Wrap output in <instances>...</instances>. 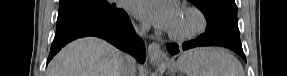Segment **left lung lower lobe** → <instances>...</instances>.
Wrapping results in <instances>:
<instances>
[{
    "label": "left lung lower lobe",
    "instance_id": "left-lung-lower-lobe-1",
    "mask_svg": "<svg viewBox=\"0 0 287 76\" xmlns=\"http://www.w3.org/2000/svg\"><path fill=\"white\" fill-rule=\"evenodd\" d=\"M214 45L227 47L233 50L234 52H236L237 54H239L246 61L240 41L216 36L206 31L204 34L200 35L195 40L185 42L182 45H178L175 43H172V44L169 43L166 45V47L169 53L174 55V54H177L179 50L182 48L183 50H187V49L197 47V46H214Z\"/></svg>",
    "mask_w": 287,
    "mask_h": 76
}]
</instances>
